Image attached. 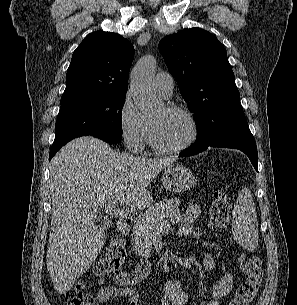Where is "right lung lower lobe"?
<instances>
[{
  "label": "right lung lower lobe",
  "mask_w": 297,
  "mask_h": 305,
  "mask_svg": "<svg viewBox=\"0 0 297 305\" xmlns=\"http://www.w3.org/2000/svg\"><path fill=\"white\" fill-rule=\"evenodd\" d=\"M92 136L97 137L99 139H102L105 142L112 143V144L118 143L121 141V137H119V136H112V135H107V134H93ZM61 147L51 148L50 153H49V160L52 159V157L56 154V152Z\"/></svg>",
  "instance_id": "98d812e1"
}]
</instances>
